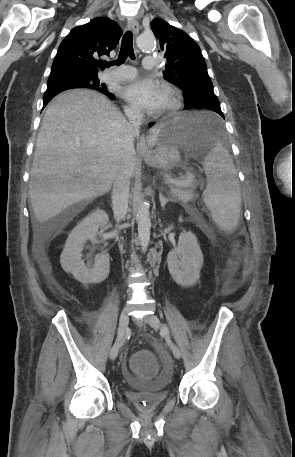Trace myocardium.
<instances>
[{"label":"myocardium","instance_id":"1","mask_svg":"<svg viewBox=\"0 0 295 457\" xmlns=\"http://www.w3.org/2000/svg\"><path fill=\"white\" fill-rule=\"evenodd\" d=\"M164 91L168 96L167 104L161 108L157 115L164 116L176 112L182 105V97L180 91L171 85H165Z\"/></svg>","mask_w":295,"mask_h":457}]
</instances>
